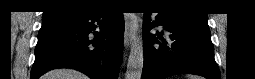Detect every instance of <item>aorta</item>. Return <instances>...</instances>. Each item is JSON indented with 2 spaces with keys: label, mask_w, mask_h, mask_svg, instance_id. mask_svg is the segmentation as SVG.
I'll return each mask as SVG.
<instances>
[{
  "label": "aorta",
  "mask_w": 255,
  "mask_h": 79,
  "mask_svg": "<svg viewBox=\"0 0 255 79\" xmlns=\"http://www.w3.org/2000/svg\"><path fill=\"white\" fill-rule=\"evenodd\" d=\"M133 18L135 22L139 21V18L136 15H134ZM143 63V45L140 39L135 37L128 58L125 79H141Z\"/></svg>",
  "instance_id": "1"
}]
</instances>
